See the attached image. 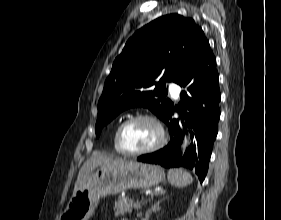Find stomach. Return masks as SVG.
<instances>
[{
    "mask_svg": "<svg viewBox=\"0 0 281 220\" xmlns=\"http://www.w3.org/2000/svg\"><path fill=\"white\" fill-rule=\"evenodd\" d=\"M165 178L164 170L152 164L132 162L116 169L100 168L72 196L60 220H88L99 199L127 189H148Z\"/></svg>",
    "mask_w": 281,
    "mask_h": 220,
    "instance_id": "stomach-1",
    "label": "stomach"
}]
</instances>
